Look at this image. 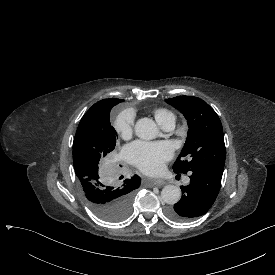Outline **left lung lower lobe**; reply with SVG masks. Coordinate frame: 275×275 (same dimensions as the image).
I'll return each mask as SVG.
<instances>
[{
  "label": "left lung lower lobe",
  "mask_w": 275,
  "mask_h": 275,
  "mask_svg": "<svg viewBox=\"0 0 275 275\" xmlns=\"http://www.w3.org/2000/svg\"><path fill=\"white\" fill-rule=\"evenodd\" d=\"M190 184L181 186L182 197L167 215L174 221L185 222L204 215L213 205L220 189L222 174L208 170L189 172Z\"/></svg>",
  "instance_id": "1"
}]
</instances>
